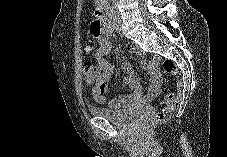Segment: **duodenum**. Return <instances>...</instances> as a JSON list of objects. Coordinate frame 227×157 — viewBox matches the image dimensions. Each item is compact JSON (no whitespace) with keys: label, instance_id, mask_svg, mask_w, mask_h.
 <instances>
[{"label":"duodenum","instance_id":"obj_1","mask_svg":"<svg viewBox=\"0 0 227 157\" xmlns=\"http://www.w3.org/2000/svg\"><path fill=\"white\" fill-rule=\"evenodd\" d=\"M90 29L94 30V32H105L109 30V26L105 20L102 10H99L97 12L96 18L94 20V25H91Z\"/></svg>","mask_w":227,"mask_h":157}]
</instances>
